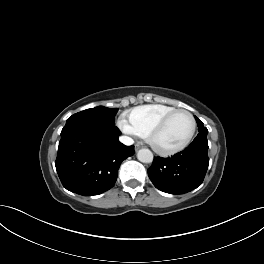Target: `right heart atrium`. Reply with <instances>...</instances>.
<instances>
[{
	"label": "right heart atrium",
	"instance_id": "right-heart-atrium-1",
	"mask_svg": "<svg viewBox=\"0 0 264 264\" xmlns=\"http://www.w3.org/2000/svg\"><path fill=\"white\" fill-rule=\"evenodd\" d=\"M118 126L120 129L128 135H137L132 125L127 121L126 118L120 117L118 120Z\"/></svg>",
	"mask_w": 264,
	"mask_h": 264
}]
</instances>
